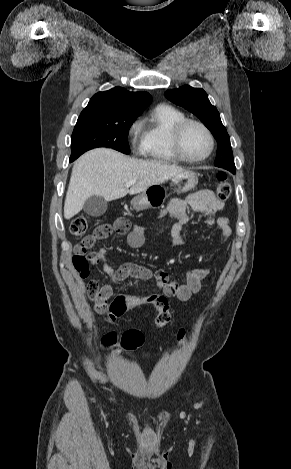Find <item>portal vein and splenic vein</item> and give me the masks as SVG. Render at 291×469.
I'll return each instance as SVG.
<instances>
[{
  "mask_svg": "<svg viewBox=\"0 0 291 469\" xmlns=\"http://www.w3.org/2000/svg\"><path fill=\"white\" fill-rule=\"evenodd\" d=\"M134 183H135V181H130V182H127L125 186H126V187H130V186L133 185Z\"/></svg>",
  "mask_w": 291,
  "mask_h": 469,
  "instance_id": "obj_1",
  "label": "portal vein and splenic vein"
}]
</instances>
